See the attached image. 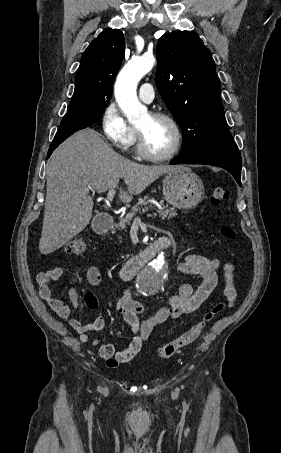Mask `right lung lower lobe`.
<instances>
[{
  "label": "right lung lower lobe",
  "instance_id": "1",
  "mask_svg": "<svg viewBox=\"0 0 281 453\" xmlns=\"http://www.w3.org/2000/svg\"><path fill=\"white\" fill-rule=\"evenodd\" d=\"M104 110L105 107L87 104L72 108L68 107V112L61 121L59 130L49 147L47 158L50 157L59 144H61L74 132L86 128L96 122Z\"/></svg>",
  "mask_w": 281,
  "mask_h": 453
}]
</instances>
